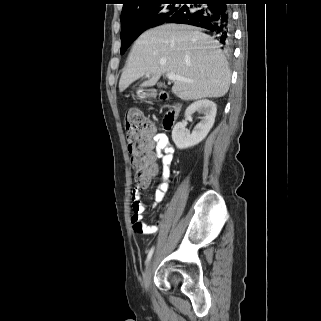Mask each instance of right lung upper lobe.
Returning <instances> with one entry per match:
<instances>
[{"label":"right lung upper lobe","instance_id":"obj_1","mask_svg":"<svg viewBox=\"0 0 321 321\" xmlns=\"http://www.w3.org/2000/svg\"><path fill=\"white\" fill-rule=\"evenodd\" d=\"M158 0H124L121 18L136 13L147 5Z\"/></svg>","mask_w":321,"mask_h":321}]
</instances>
